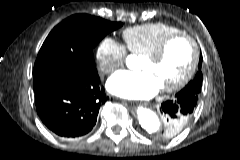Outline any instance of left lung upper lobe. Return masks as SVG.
<instances>
[{"label": "left lung upper lobe", "mask_w": 240, "mask_h": 160, "mask_svg": "<svg viewBox=\"0 0 240 160\" xmlns=\"http://www.w3.org/2000/svg\"><path fill=\"white\" fill-rule=\"evenodd\" d=\"M202 64V57H200L199 61V69H201ZM202 84V73L199 70V72L196 74L195 78L188 83V85L183 90L192 91L193 93L199 95L200 89ZM191 116L181 117L177 120L178 125H185ZM168 123L166 121L165 128L159 133V137L161 138H171L178 134L182 129H178L175 133H171L168 129Z\"/></svg>", "instance_id": "obj_1"}]
</instances>
